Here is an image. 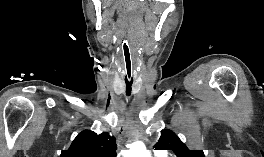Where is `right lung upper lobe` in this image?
Instances as JSON below:
<instances>
[{"mask_svg":"<svg viewBox=\"0 0 264 157\" xmlns=\"http://www.w3.org/2000/svg\"><path fill=\"white\" fill-rule=\"evenodd\" d=\"M115 138L107 132L97 135L91 130L78 134L68 150H62L60 157H116Z\"/></svg>","mask_w":264,"mask_h":157,"instance_id":"right-lung-upper-lobe-1","label":"right lung upper lobe"}]
</instances>
